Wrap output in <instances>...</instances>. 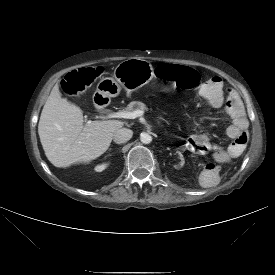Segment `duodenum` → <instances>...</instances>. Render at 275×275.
Here are the masks:
<instances>
[{"label": "duodenum", "mask_w": 275, "mask_h": 275, "mask_svg": "<svg viewBox=\"0 0 275 275\" xmlns=\"http://www.w3.org/2000/svg\"><path fill=\"white\" fill-rule=\"evenodd\" d=\"M92 101L95 103L97 109L105 110L109 103V96L101 92H94L92 94Z\"/></svg>", "instance_id": "1"}]
</instances>
